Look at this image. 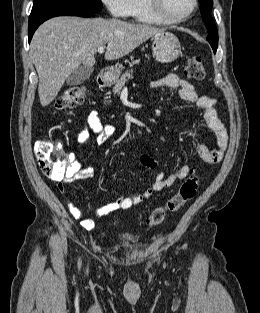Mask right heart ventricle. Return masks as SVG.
<instances>
[{"mask_svg":"<svg viewBox=\"0 0 260 313\" xmlns=\"http://www.w3.org/2000/svg\"><path fill=\"white\" fill-rule=\"evenodd\" d=\"M135 21L145 24H159L148 10L145 0H130L129 15Z\"/></svg>","mask_w":260,"mask_h":313,"instance_id":"1","label":"right heart ventricle"}]
</instances>
